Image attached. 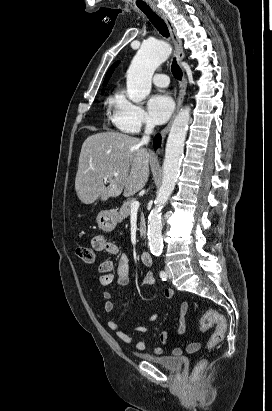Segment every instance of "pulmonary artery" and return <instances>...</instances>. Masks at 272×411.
<instances>
[{
  "mask_svg": "<svg viewBox=\"0 0 272 411\" xmlns=\"http://www.w3.org/2000/svg\"><path fill=\"white\" fill-rule=\"evenodd\" d=\"M153 83L158 87H167L169 84V78L166 74L158 73L153 77Z\"/></svg>",
  "mask_w": 272,
  "mask_h": 411,
  "instance_id": "obj_1",
  "label": "pulmonary artery"
}]
</instances>
